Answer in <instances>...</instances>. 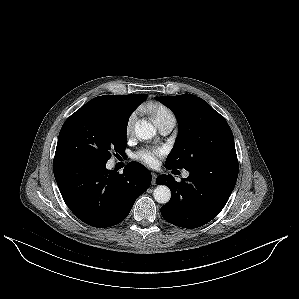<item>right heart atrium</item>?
Listing matches in <instances>:
<instances>
[{
    "label": "right heart atrium",
    "instance_id": "1",
    "mask_svg": "<svg viewBox=\"0 0 299 299\" xmlns=\"http://www.w3.org/2000/svg\"><path fill=\"white\" fill-rule=\"evenodd\" d=\"M136 120H137V112H132L126 121V126H125V131L128 136L133 133Z\"/></svg>",
    "mask_w": 299,
    "mask_h": 299
}]
</instances>
